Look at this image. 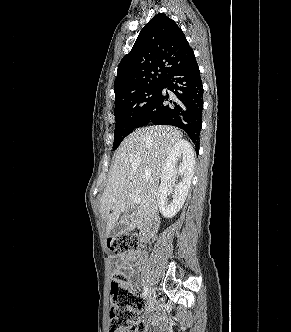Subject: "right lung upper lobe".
I'll list each match as a JSON object with an SVG mask.
<instances>
[{"instance_id": "1", "label": "right lung upper lobe", "mask_w": 291, "mask_h": 332, "mask_svg": "<svg viewBox=\"0 0 291 332\" xmlns=\"http://www.w3.org/2000/svg\"><path fill=\"white\" fill-rule=\"evenodd\" d=\"M194 58L178 25L164 13L155 15L142 28L132 50L118 66L115 100L150 84L163 82L173 70Z\"/></svg>"}]
</instances>
